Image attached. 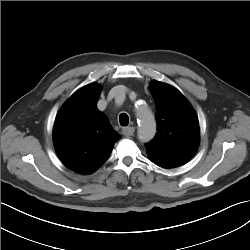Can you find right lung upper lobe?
Instances as JSON below:
<instances>
[{"label":"right lung upper lobe","mask_w":250,"mask_h":250,"mask_svg":"<svg viewBox=\"0 0 250 250\" xmlns=\"http://www.w3.org/2000/svg\"><path fill=\"white\" fill-rule=\"evenodd\" d=\"M101 86L87 85L60 109L54 123L53 142L60 160L71 170L90 174L108 159L121 136L97 109Z\"/></svg>","instance_id":"cb5924a9"}]
</instances>
